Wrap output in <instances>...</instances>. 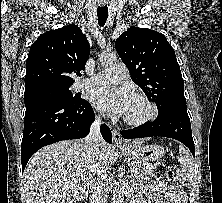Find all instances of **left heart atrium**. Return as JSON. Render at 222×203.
Instances as JSON below:
<instances>
[{"label": "left heart atrium", "mask_w": 222, "mask_h": 203, "mask_svg": "<svg viewBox=\"0 0 222 203\" xmlns=\"http://www.w3.org/2000/svg\"><path fill=\"white\" fill-rule=\"evenodd\" d=\"M91 99L99 110L110 115L123 116L127 112L132 97L125 88L103 86L93 91Z\"/></svg>", "instance_id": "left-heart-atrium-1"}]
</instances>
